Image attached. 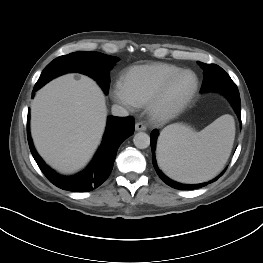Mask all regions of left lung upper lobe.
I'll return each instance as SVG.
<instances>
[{
  "instance_id": "left-lung-upper-lobe-1",
  "label": "left lung upper lobe",
  "mask_w": 263,
  "mask_h": 263,
  "mask_svg": "<svg viewBox=\"0 0 263 263\" xmlns=\"http://www.w3.org/2000/svg\"><path fill=\"white\" fill-rule=\"evenodd\" d=\"M221 68V67H220ZM219 78L215 79V85H235L230 76L221 68L218 72Z\"/></svg>"
}]
</instances>
